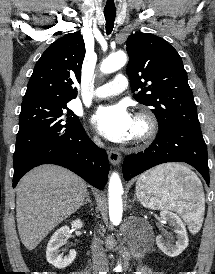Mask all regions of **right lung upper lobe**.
<instances>
[{
	"label": "right lung upper lobe",
	"instance_id": "1",
	"mask_svg": "<svg viewBox=\"0 0 215 274\" xmlns=\"http://www.w3.org/2000/svg\"><path fill=\"white\" fill-rule=\"evenodd\" d=\"M85 45L80 33H70L52 43L37 61L22 105L40 101H70L77 96Z\"/></svg>",
	"mask_w": 215,
	"mask_h": 274
}]
</instances>
